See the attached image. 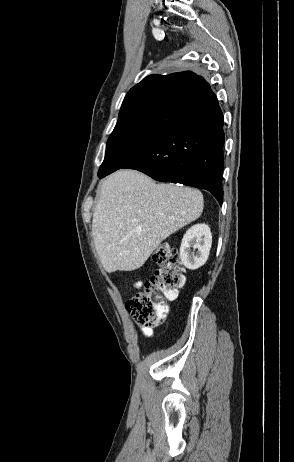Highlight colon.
<instances>
[{
	"instance_id": "obj_1",
	"label": "colon",
	"mask_w": 294,
	"mask_h": 462,
	"mask_svg": "<svg viewBox=\"0 0 294 462\" xmlns=\"http://www.w3.org/2000/svg\"><path fill=\"white\" fill-rule=\"evenodd\" d=\"M156 266L154 275L126 303L133 320L143 326H154L164 321L168 306L165 300H174L185 283L184 268L179 253L168 246H159L152 255Z\"/></svg>"
}]
</instances>
